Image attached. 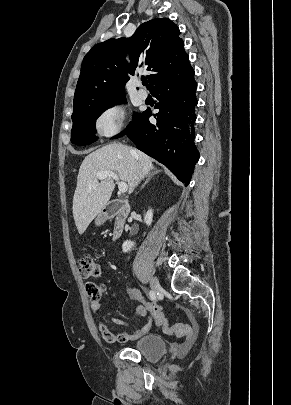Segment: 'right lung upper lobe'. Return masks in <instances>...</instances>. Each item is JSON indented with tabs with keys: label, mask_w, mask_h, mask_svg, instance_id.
Instances as JSON below:
<instances>
[{
	"label": "right lung upper lobe",
	"mask_w": 291,
	"mask_h": 405,
	"mask_svg": "<svg viewBox=\"0 0 291 405\" xmlns=\"http://www.w3.org/2000/svg\"><path fill=\"white\" fill-rule=\"evenodd\" d=\"M179 28L168 18L143 23L129 38L109 39L96 44L84 57L74 95L73 113L86 107L125 96L128 73L137 66L151 72L148 89L181 78L193 71ZM129 52L131 64L125 60Z\"/></svg>",
	"instance_id": "1"
}]
</instances>
